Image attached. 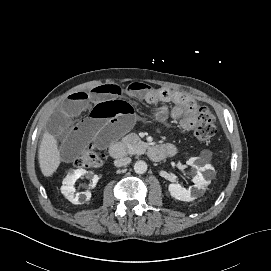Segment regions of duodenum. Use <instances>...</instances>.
<instances>
[{"instance_id":"obj_1","label":"duodenum","mask_w":271,"mask_h":271,"mask_svg":"<svg viewBox=\"0 0 271 271\" xmlns=\"http://www.w3.org/2000/svg\"><path fill=\"white\" fill-rule=\"evenodd\" d=\"M125 154V147L122 143L115 142L110 145L109 155L112 158L119 159L124 157ZM148 155L152 160L159 161L165 157H168V151L161 147L151 146L148 149Z\"/></svg>"}]
</instances>
